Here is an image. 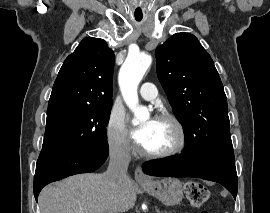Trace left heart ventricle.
<instances>
[{"label": "left heart ventricle", "mask_w": 270, "mask_h": 213, "mask_svg": "<svg viewBox=\"0 0 270 213\" xmlns=\"http://www.w3.org/2000/svg\"><path fill=\"white\" fill-rule=\"evenodd\" d=\"M177 141L178 134L170 122L155 120L142 148L149 152H160L170 149Z\"/></svg>", "instance_id": "obj_1"}]
</instances>
